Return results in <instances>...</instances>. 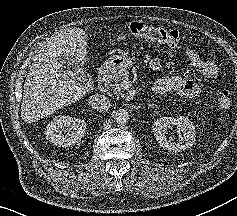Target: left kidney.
<instances>
[{
	"label": "left kidney",
	"instance_id": "5707ae66",
	"mask_svg": "<svg viewBox=\"0 0 237 216\" xmlns=\"http://www.w3.org/2000/svg\"><path fill=\"white\" fill-rule=\"evenodd\" d=\"M152 132L159 146L167 151H183L193 144V126L186 120L160 118L153 124Z\"/></svg>",
	"mask_w": 237,
	"mask_h": 216
}]
</instances>
